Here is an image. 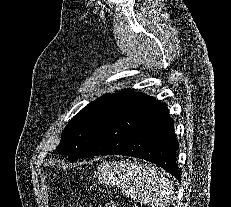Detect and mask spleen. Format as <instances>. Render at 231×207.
<instances>
[{"label": "spleen", "mask_w": 231, "mask_h": 207, "mask_svg": "<svg viewBox=\"0 0 231 207\" xmlns=\"http://www.w3.org/2000/svg\"><path fill=\"white\" fill-rule=\"evenodd\" d=\"M99 180L116 185L136 202L166 207L175 200L174 187L157 168L137 161L104 162L98 167Z\"/></svg>", "instance_id": "3e777b00"}]
</instances>
